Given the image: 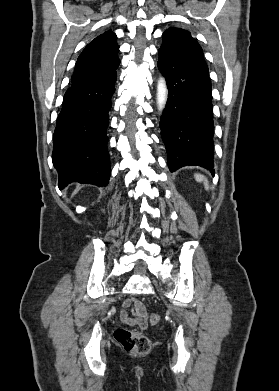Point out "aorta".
<instances>
[{"label": "aorta", "mask_w": 279, "mask_h": 391, "mask_svg": "<svg viewBox=\"0 0 279 391\" xmlns=\"http://www.w3.org/2000/svg\"><path fill=\"white\" fill-rule=\"evenodd\" d=\"M168 98V88L166 81L163 77H160L157 84V105L158 109L162 111L165 108Z\"/></svg>", "instance_id": "1"}]
</instances>
